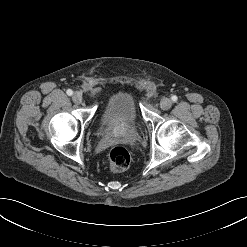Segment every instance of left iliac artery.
Instances as JSON below:
<instances>
[{"mask_svg": "<svg viewBox=\"0 0 247 247\" xmlns=\"http://www.w3.org/2000/svg\"><path fill=\"white\" fill-rule=\"evenodd\" d=\"M171 99H172L173 102H176L178 98H177L176 95H173V96L171 97Z\"/></svg>", "mask_w": 247, "mask_h": 247, "instance_id": "left-iliac-artery-1", "label": "left iliac artery"}]
</instances>
